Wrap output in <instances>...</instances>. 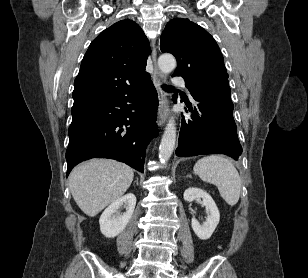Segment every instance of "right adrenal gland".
Listing matches in <instances>:
<instances>
[{"label": "right adrenal gland", "instance_id": "right-adrenal-gland-1", "mask_svg": "<svg viewBox=\"0 0 308 278\" xmlns=\"http://www.w3.org/2000/svg\"><path fill=\"white\" fill-rule=\"evenodd\" d=\"M135 183H136L137 185H139V183H138V178H136V181H135Z\"/></svg>", "mask_w": 308, "mask_h": 278}]
</instances>
